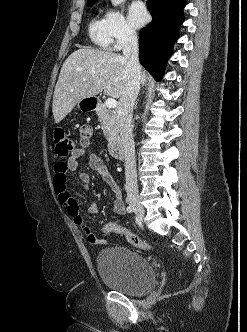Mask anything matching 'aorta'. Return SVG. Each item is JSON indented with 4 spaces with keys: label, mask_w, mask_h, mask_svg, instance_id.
<instances>
[{
    "label": "aorta",
    "mask_w": 247,
    "mask_h": 332,
    "mask_svg": "<svg viewBox=\"0 0 247 332\" xmlns=\"http://www.w3.org/2000/svg\"><path fill=\"white\" fill-rule=\"evenodd\" d=\"M111 2L114 6H117V5L121 4L122 2H124V0H111Z\"/></svg>",
    "instance_id": "1"
}]
</instances>
